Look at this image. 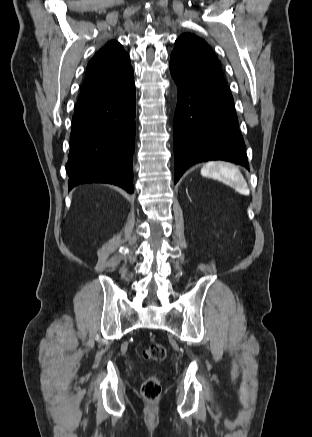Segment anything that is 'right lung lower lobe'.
Returning a JSON list of instances; mask_svg holds the SVG:
<instances>
[{
    "label": "right lung lower lobe",
    "mask_w": 312,
    "mask_h": 437,
    "mask_svg": "<svg viewBox=\"0 0 312 437\" xmlns=\"http://www.w3.org/2000/svg\"><path fill=\"white\" fill-rule=\"evenodd\" d=\"M135 112L133 73L113 90L76 104L66 164L69 190L109 183L133 192Z\"/></svg>",
    "instance_id": "right-lung-lower-lobe-1"
}]
</instances>
